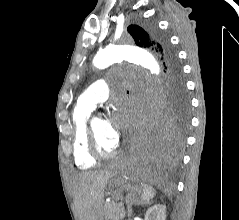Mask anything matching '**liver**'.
Returning <instances> with one entry per match:
<instances>
[{"mask_svg": "<svg viewBox=\"0 0 239 220\" xmlns=\"http://www.w3.org/2000/svg\"><path fill=\"white\" fill-rule=\"evenodd\" d=\"M115 174L112 170H99L73 177L71 184L79 220L102 219L105 187Z\"/></svg>", "mask_w": 239, "mask_h": 220, "instance_id": "6515ba94", "label": "liver"}]
</instances>
